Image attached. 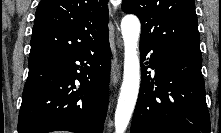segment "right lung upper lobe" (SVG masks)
Segmentation results:
<instances>
[{"label": "right lung upper lobe", "instance_id": "cb5924a9", "mask_svg": "<svg viewBox=\"0 0 221 133\" xmlns=\"http://www.w3.org/2000/svg\"><path fill=\"white\" fill-rule=\"evenodd\" d=\"M107 0H41L29 62L79 51L108 33Z\"/></svg>", "mask_w": 221, "mask_h": 133}]
</instances>
